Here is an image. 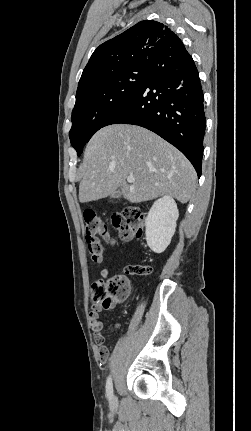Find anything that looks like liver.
Returning a JSON list of instances; mask_svg holds the SVG:
<instances>
[{
	"instance_id": "6515ba94",
	"label": "liver",
	"mask_w": 251,
	"mask_h": 431,
	"mask_svg": "<svg viewBox=\"0 0 251 431\" xmlns=\"http://www.w3.org/2000/svg\"><path fill=\"white\" fill-rule=\"evenodd\" d=\"M79 201L105 198L118 188L131 203L169 195L187 203L197 175L188 159L155 133L135 125L113 124L89 141L80 167ZM128 176L135 181L127 183Z\"/></svg>"
}]
</instances>
